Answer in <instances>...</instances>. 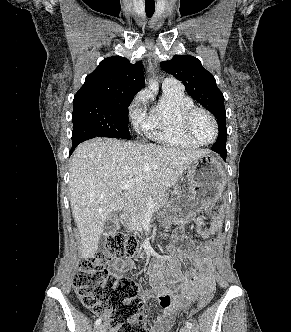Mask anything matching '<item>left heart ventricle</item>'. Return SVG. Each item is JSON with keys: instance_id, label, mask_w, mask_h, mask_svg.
Returning a JSON list of instances; mask_svg holds the SVG:
<instances>
[{"instance_id": "left-heart-ventricle-1", "label": "left heart ventricle", "mask_w": 291, "mask_h": 332, "mask_svg": "<svg viewBox=\"0 0 291 332\" xmlns=\"http://www.w3.org/2000/svg\"><path fill=\"white\" fill-rule=\"evenodd\" d=\"M192 132L201 141H211L215 135L212 121L203 113L195 115L192 121Z\"/></svg>"}]
</instances>
